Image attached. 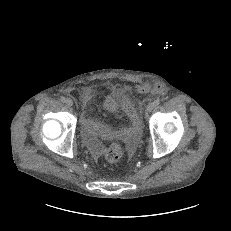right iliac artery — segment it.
<instances>
[{
	"label": "right iliac artery",
	"mask_w": 231,
	"mask_h": 231,
	"mask_svg": "<svg viewBox=\"0 0 231 231\" xmlns=\"http://www.w3.org/2000/svg\"><path fill=\"white\" fill-rule=\"evenodd\" d=\"M60 100H61V102H63V103L66 102V98H65V97H61Z\"/></svg>",
	"instance_id": "right-iliac-artery-1"
}]
</instances>
